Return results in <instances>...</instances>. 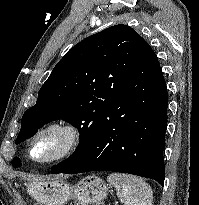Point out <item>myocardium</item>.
Instances as JSON below:
<instances>
[{
  "label": "myocardium",
  "instance_id": "f54148a6",
  "mask_svg": "<svg viewBox=\"0 0 199 205\" xmlns=\"http://www.w3.org/2000/svg\"><path fill=\"white\" fill-rule=\"evenodd\" d=\"M54 135L58 138L59 145L57 149L44 158L34 157V148L36 144L46 136ZM81 143V133L79 128L72 122L52 121L39 129L30 141L28 154L32 161L39 164H51L58 162L74 153Z\"/></svg>",
  "mask_w": 199,
  "mask_h": 205
}]
</instances>
